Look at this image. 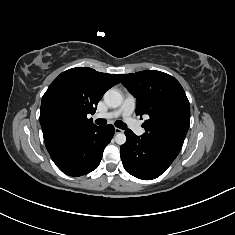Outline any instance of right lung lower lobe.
Wrapping results in <instances>:
<instances>
[{
	"instance_id": "obj_1",
	"label": "right lung lower lobe",
	"mask_w": 235,
	"mask_h": 235,
	"mask_svg": "<svg viewBox=\"0 0 235 235\" xmlns=\"http://www.w3.org/2000/svg\"><path fill=\"white\" fill-rule=\"evenodd\" d=\"M114 132L112 125L95 126L64 134L45 142V145L52 160L63 173L81 176L98 167Z\"/></svg>"
}]
</instances>
